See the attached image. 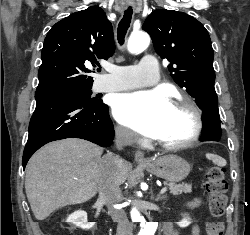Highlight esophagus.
<instances>
[{
    "mask_svg": "<svg viewBox=\"0 0 250 235\" xmlns=\"http://www.w3.org/2000/svg\"><path fill=\"white\" fill-rule=\"evenodd\" d=\"M134 159L138 163H149L150 160L145 158L144 153L140 150H137L134 154Z\"/></svg>",
    "mask_w": 250,
    "mask_h": 235,
    "instance_id": "obj_1",
    "label": "esophagus"
}]
</instances>
